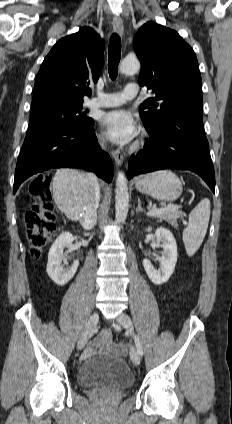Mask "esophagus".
Segmentation results:
<instances>
[{
    "mask_svg": "<svg viewBox=\"0 0 232 424\" xmlns=\"http://www.w3.org/2000/svg\"><path fill=\"white\" fill-rule=\"evenodd\" d=\"M113 29L116 33H118L119 35H123L124 33V27H123V22L122 19L119 15H115L113 17ZM112 156L115 160L116 166L119 168L121 167V165L123 164L124 158L123 155L121 154L120 151L116 150L112 152Z\"/></svg>",
    "mask_w": 232,
    "mask_h": 424,
    "instance_id": "1",
    "label": "esophagus"
}]
</instances>
